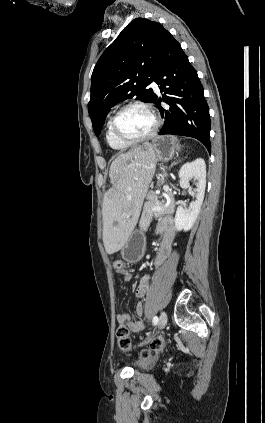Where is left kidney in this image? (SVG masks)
I'll return each mask as SVG.
<instances>
[{
    "mask_svg": "<svg viewBox=\"0 0 265 423\" xmlns=\"http://www.w3.org/2000/svg\"><path fill=\"white\" fill-rule=\"evenodd\" d=\"M180 187L183 189L190 188L189 181L191 178L197 181L195 191L196 199L186 208L180 205L175 214V227L178 231H189L201 209L206 188V164L202 158H197L192 162H187L179 170Z\"/></svg>",
    "mask_w": 265,
    "mask_h": 423,
    "instance_id": "1",
    "label": "left kidney"
}]
</instances>
